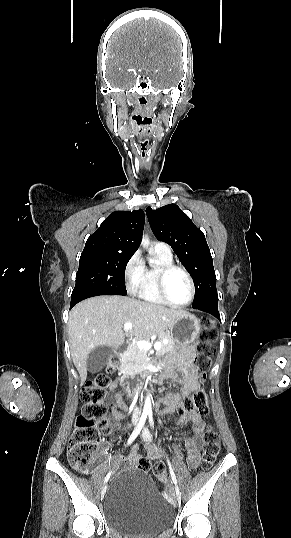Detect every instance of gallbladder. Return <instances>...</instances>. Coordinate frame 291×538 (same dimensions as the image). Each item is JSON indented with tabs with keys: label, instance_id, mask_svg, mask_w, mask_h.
<instances>
[{
	"label": "gallbladder",
	"instance_id": "obj_1",
	"mask_svg": "<svg viewBox=\"0 0 291 538\" xmlns=\"http://www.w3.org/2000/svg\"><path fill=\"white\" fill-rule=\"evenodd\" d=\"M112 354V348L100 346L93 349L87 358V370L91 373H96L102 370Z\"/></svg>",
	"mask_w": 291,
	"mask_h": 538
}]
</instances>
